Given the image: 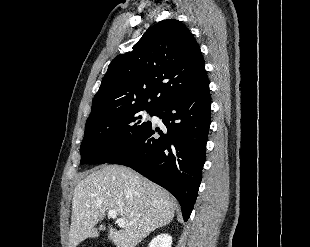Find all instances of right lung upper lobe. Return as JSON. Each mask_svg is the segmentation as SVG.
<instances>
[{
  "instance_id": "right-lung-upper-lobe-1",
  "label": "right lung upper lobe",
  "mask_w": 310,
  "mask_h": 247,
  "mask_svg": "<svg viewBox=\"0 0 310 247\" xmlns=\"http://www.w3.org/2000/svg\"><path fill=\"white\" fill-rule=\"evenodd\" d=\"M206 81L205 62L189 29L178 20H162L143 34L133 51L112 60L87 121L132 108L157 110Z\"/></svg>"
}]
</instances>
